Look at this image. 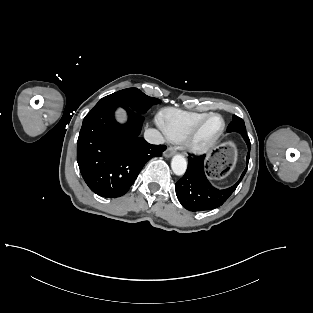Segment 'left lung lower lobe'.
I'll use <instances>...</instances> for the list:
<instances>
[{"label": "left lung lower lobe", "instance_id": "1", "mask_svg": "<svg viewBox=\"0 0 313 313\" xmlns=\"http://www.w3.org/2000/svg\"><path fill=\"white\" fill-rule=\"evenodd\" d=\"M240 134L248 146V167L251 144L245 132ZM204 158V155L189 157L188 168L184 176L175 184L176 195L179 202L187 210L193 212L212 210L222 205L235 191L247 171L246 167L235 185L225 190H219L214 188L206 177Z\"/></svg>", "mask_w": 313, "mask_h": 313}]
</instances>
